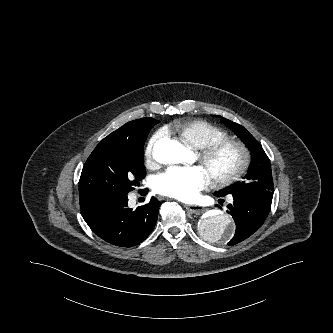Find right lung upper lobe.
I'll list each match as a JSON object with an SVG mask.
<instances>
[{"mask_svg":"<svg viewBox=\"0 0 333 333\" xmlns=\"http://www.w3.org/2000/svg\"><path fill=\"white\" fill-rule=\"evenodd\" d=\"M144 119V118H142ZM142 119L130 121L124 124L122 127L117 129L116 131L109 134L103 140H110V141H126V142H136L141 133V124L143 123Z\"/></svg>","mask_w":333,"mask_h":333,"instance_id":"cb5924a9","label":"right lung upper lobe"}]
</instances>
